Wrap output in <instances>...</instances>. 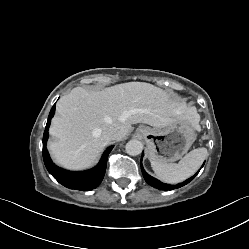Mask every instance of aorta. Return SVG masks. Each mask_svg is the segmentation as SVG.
Returning a JSON list of instances; mask_svg holds the SVG:
<instances>
[{
	"label": "aorta",
	"instance_id": "obj_1",
	"mask_svg": "<svg viewBox=\"0 0 249 249\" xmlns=\"http://www.w3.org/2000/svg\"><path fill=\"white\" fill-rule=\"evenodd\" d=\"M127 154L131 156L139 155L143 150L142 142L138 140H130L125 146Z\"/></svg>",
	"mask_w": 249,
	"mask_h": 249
}]
</instances>
